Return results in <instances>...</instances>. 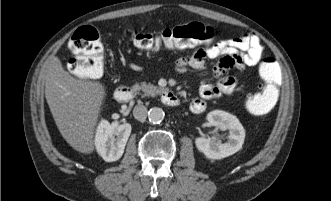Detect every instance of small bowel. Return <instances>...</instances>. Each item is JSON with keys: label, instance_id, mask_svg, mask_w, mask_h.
Masks as SVG:
<instances>
[{"label": "small bowel", "instance_id": "1", "mask_svg": "<svg viewBox=\"0 0 331 201\" xmlns=\"http://www.w3.org/2000/svg\"><path fill=\"white\" fill-rule=\"evenodd\" d=\"M264 50L261 39L252 33L244 34L220 41L206 48H199L189 55L180 58L175 65L178 72L184 73L188 69L204 70L207 60H217L213 67L216 77L214 83L203 81L199 87L200 96L194 98L190 110L199 114L206 109V100L232 95L237 90V81L234 77L226 75L232 68L244 69L256 65Z\"/></svg>", "mask_w": 331, "mask_h": 201}]
</instances>
